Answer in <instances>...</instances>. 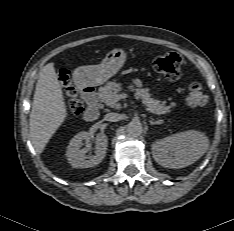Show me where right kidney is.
Masks as SVG:
<instances>
[{
    "label": "right kidney",
    "mask_w": 234,
    "mask_h": 231,
    "mask_svg": "<svg viewBox=\"0 0 234 231\" xmlns=\"http://www.w3.org/2000/svg\"><path fill=\"white\" fill-rule=\"evenodd\" d=\"M94 136L88 132H80L76 134L70 141L66 156L69 163L74 168H89L99 164L106 155L108 146V139L105 134H98L95 138L96 150L95 154L91 157H87L86 153L90 147L87 145L85 148L80 149L83 145V141L89 142Z\"/></svg>",
    "instance_id": "right-kidney-1"
}]
</instances>
